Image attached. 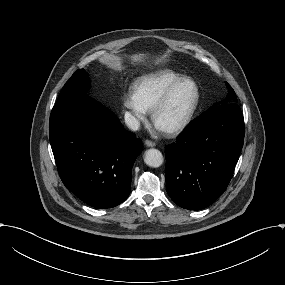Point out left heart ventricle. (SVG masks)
Instances as JSON below:
<instances>
[{"mask_svg": "<svg viewBox=\"0 0 285 285\" xmlns=\"http://www.w3.org/2000/svg\"><path fill=\"white\" fill-rule=\"evenodd\" d=\"M196 98V88L193 83L181 85L173 94L168 105L162 109L156 119L165 130L181 122L190 111Z\"/></svg>", "mask_w": 285, "mask_h": 285, "instance_id": "obj_1", "label": "left heart ventricle"}]
</instances>
